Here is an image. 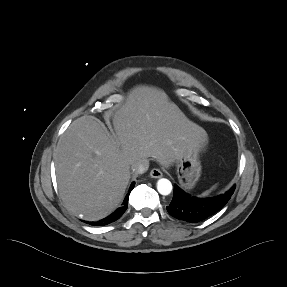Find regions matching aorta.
<instances>
[{"label": "aorta", "instance_id": "aorta-1", "mask_svg": "<svg viewBox=\"0 0 287 287\" xmlns=\"http://www.w3.org/2000/svg\"><path fill=\"white\" fill-rule=\"evenodd\" d=\"M172 188V183L166 178H161L157 182V190L161 195H169Z\"/></svg>", "mask_w": 287, "mask_h": 287}]
</instances>
